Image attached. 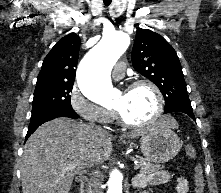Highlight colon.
Wrapping results in <instances>:
<instances>
[{
	"mask_svg": "<svg viewBox=\"0 0 221 193\" xmlns=\"http://www.w3.org/2000/svg\"><path fill=\"white\" fill-rule=\"evenodd\" d=\"M186 152L193 159L197 158L196 149L193 145H187ZM194 182H195V192L204 193L203 167L198 162L196 163V166L194 169Z\"/></svg>",
	"mask_w": 221,
	"mask_h": 193,
	"instance_id": "obj_1",
	"label": "colon"
}]
</instances>
